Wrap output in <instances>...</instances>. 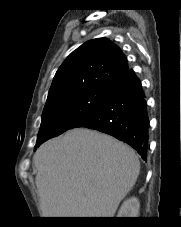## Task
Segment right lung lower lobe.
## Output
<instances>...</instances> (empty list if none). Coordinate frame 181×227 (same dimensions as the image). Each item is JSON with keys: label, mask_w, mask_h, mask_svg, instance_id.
<instances>
[{"label": "right lung lower lobe", "mask_w": 181, "mask_h": 227, "mask_svg": "<svg viewBox=\"0 0 181 227\" xmlns=\"http://www.w3.org/2000/svg\"><path fill=\"white\" fill-rule=\"evenodd\" d=\"M77 127L109 134L132 146L146 160L149 117L145 94L134 72L130 70L115 82L103 106Z\"/></svg>", "instance_id": "1"}]
</instances>
